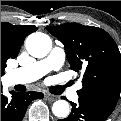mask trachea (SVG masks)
I'll return each instance as SVG.
<instances>
[{
	"instance_id": "trachea-1",
	"label": "trachea",
	"mask_w": 121,
	"mask_h": 121,
	"mask_svg": "<svg viewBox=\"0 0 121 121\" xmlns=\"http://www.w3.org/2000/svg\"><path fill=\"white\" fill-rule=\"evenodd\" d=\"M71 85V82L67 83L66 86H69ZM66 86H54V87H51L50 88V92H52L53 94H62L64 92V88Z\"/></svg>"
}]
</instances>
